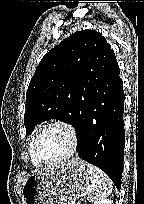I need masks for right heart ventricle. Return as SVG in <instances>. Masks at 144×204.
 I'll return each mask as SVG.
<instances>
[{
    "mask_svg": "<svg viewBox=\"0 0 144 204\" xmlns=\"http://www.w3.org/2000/svg\"><path fill=\"white\" fill-rule=\"evenodd\" d=\"M33 138H34V136H33ZM33 138L31 139L30 144H29L30 158H31L32 163H33L35 166H40L41 164L38 163V162L35 160V158L33 157V155H32V142H33Z\"/></svg>",
    "mask_w": 144,
    "mask_h": 204,
    "instance_id": "e07e8e85",
    "label": "right heart ventricle"
}]
</instances>
